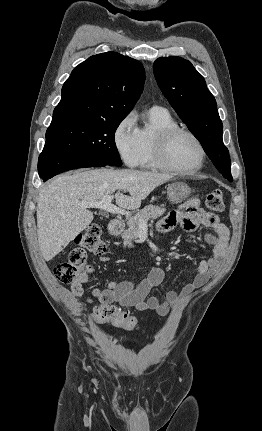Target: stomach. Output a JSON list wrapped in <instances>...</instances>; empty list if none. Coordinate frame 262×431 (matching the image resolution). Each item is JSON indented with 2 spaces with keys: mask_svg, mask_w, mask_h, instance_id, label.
I'll return each mask as SVG.
<instances>
[{
  "mask_svg": "<svg viewBox=\"0 0 262 431\" xmlns=\"http://www.w3.org/2000/svg\"><path fill=\"white\" fill-rule=\"evenodd\" d=\"M191 194L190 187L181 181H174L167 186V197L174 203L185 201Z\"/></svg>",
  "mask_w": 262,
  "mask_h": 431,
  "instance_id": "1",
  "label": "stomach"
}]
</instances>
